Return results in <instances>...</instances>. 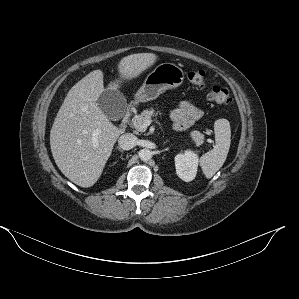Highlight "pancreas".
<instances>
[{
  "mask_svg": "<svg viewBox=\"0 0 299 299\" xmlns=\"http://www.w3.org/2000/svg\"><path fill=\"white\" fill-rule=\"evenodd\" d=\"M156 114L153 108L144 110L140 115L135 116L132 119V124L139 130H143L140 126L146 121L150 120ZM190 137L196 146H200L204 142V135L197 130L190 132Z\"/></svg>",
  "mask_w": 299,
  "mask_h": 299,
  "instance_id": "pancreas-1",
  "label": "pancreas"
}]
</instances>
